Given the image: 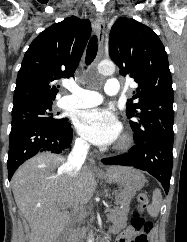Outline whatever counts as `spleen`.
<instances>
[{"instance_id": "3e777b00", "label": "spleen", "mask_w": 187, "mask_h": 242, "mask_svg": "<svg viewBox=\"0 0 187 242\" xmlns=\"http://www.w3.org/2000/svg\"><path fill=\"white\" fill-rule=\"evenodd\" d=\"M162 204V195L159 189L153 191L152 204L148 207V213L152 217H157Z\"/></svg>"}]
</instances>
